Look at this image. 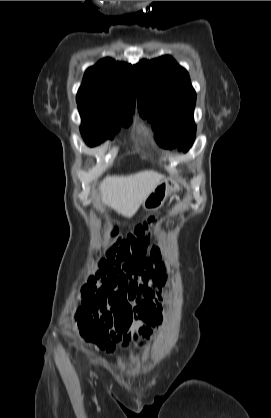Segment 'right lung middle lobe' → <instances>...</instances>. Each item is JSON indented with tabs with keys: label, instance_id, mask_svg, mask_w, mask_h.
Returning <instances> with one entry per match:
<instances>
[{
	"label": "right lung middle lobe",
	"instance_id": "obj_1",
	"mask_svg": "<svg viewBox=\"0 0 271 418\" xmlns=\"http://www.w3.org/2000/svg\"><path fill=\"white\" fill-rule=\"evenodd\" d=\"M79 112L82 118L81 134L89 146L98 145L107 138L112 139L120 129L119 125L128 127L132 122L131 115H102L80 109Z\"/></svg>",
	"mask_w": 271,
	"mask_h": 418
}]
</instances>
